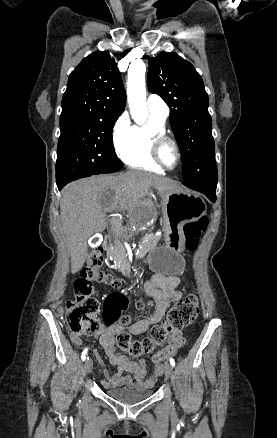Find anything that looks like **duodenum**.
Segmentation results:
<instances>
[{
    "label": "duodenum",
    "mask_w": 277,
    "mask_h": 438,
    "mask_svg": "<svg viewBox=\"0 0 277 438\" xmlns=\"http://www.w3.org/2000/svg\"><path fill=\"white\" fill-rule=\"evenodd\" d=\"M104 250L108 251L112 247V241L110 238H105L102 244Z\"/></svg>",
    "instance_id": "obj_1"
}]
</instances>
